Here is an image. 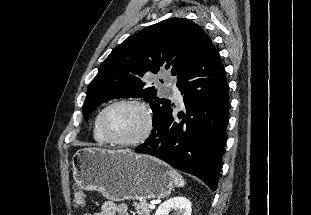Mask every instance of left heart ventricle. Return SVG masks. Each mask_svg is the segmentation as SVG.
<instances>
[{
	"label": "left heart ventricle",
	"mask_w": 311,
	"mask_h": 215,
	"mask_svg": "<svg viewBox=\"0 0 311 215\" xmlns=\"http://www.w3.org/2000/svg\"><path fill=\"white\" fill-rule=\"evenodd\" d=\"M104 124L112 137L130 140L142 133L145 127V115L135 105H117L107 112Z\"/></svg>",
	"instance_id": "left-heart-ventricle-1"
}]
</instances>
